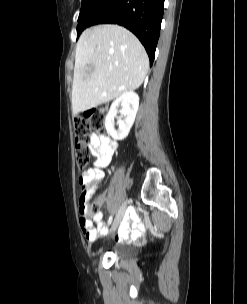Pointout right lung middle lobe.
Segmentation results:
<instances>
[{"label":"right lung middle lobe","instance_id":"dd1d6c3e","mask_svg":"<svg viewBox=\"0 0 247 304\" xmlns=\"http://www.w3.org/2000/svg\"><path fill=\"white\" fill-rule=\"evenodd\" d=\"M102 0H82V6L78 18L77 37L83 31V19L101 2Z\"/></svg>","mask_w":247,"mask_h":304}]
</instances>
